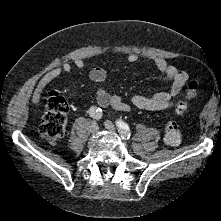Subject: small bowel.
Masks as SVG:
<instances>
[{"label":"small bowel","instance_id":"c3829d8e","mask_svg":"<svg viewBox=\"0 0 221 221\" xmlns=\"http://www.w3.org/2000/svg\"><path fill=\"white\" fill-rule=\"evenodd\" d=\"M138 60V55L130 53L127 61L134 63ZM74 65L79 69H84L86 64L84 60L78 58L74 61ZM154 65L159 73L170 83V87L166 91L158 92L151 96L133 95L130 99L132 107L140 110H163L175 107L177 105L176 97L187 83L189 76L185 71L178 69L176 66L167 63L162 58H155ZM73 66L69 62L63 63L60 67H56L48 71L38 82L34 91V99L39 101L44 89L62 73H70ZM106 71L103 68L96 67L91 69L89 77L97 87L96 101L99 107L113 109L121 112H129L130 106L126 104L119 95H110L102 84L106 80Z\"/></svg>","mask_w":221,"mask_h":221}]
</instances>
